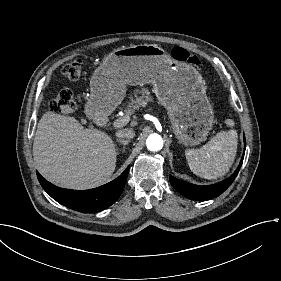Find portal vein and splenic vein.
Returning a JSON list of instances; mask_svg holds the SVG:
<instances>
[{
  "label": "portal vein and splenic vein",
  "instance_id": "obj_1",
  "mask_svg": "<svg viewBox=\"0 0 281 281\" xmlns=\"http://www.w3.org/2000/svg\"><path fill=\"white\" fill-rule=\"evenodd\" d=\"M129 122V117L128 116H123L122 118H119L117 119L115 122H114V127L115 128H120L122 127L123 125L127 124ZM111 128V127H110Z\"/></svg>",
  "mask_w": 281,
  "mask_h": 281
}]
</instances>
